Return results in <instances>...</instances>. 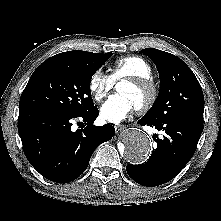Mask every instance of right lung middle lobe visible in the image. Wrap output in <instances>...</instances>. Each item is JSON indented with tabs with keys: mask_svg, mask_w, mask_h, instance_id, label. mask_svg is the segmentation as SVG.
<instances>
[{
	"mask_svg": "<svg viewBox=\"0 0 221 221\" xmlns=\"http://www.w3.org/2000/svg\"><path fill=\"white\" fill-rule=\"evenodd\" d=\"M98 54L88 64L44 61L32 74L19 107H36L80 116L93 110L90 82L94 73L110 58Z\"/></svg>",
	"mask_w": 221,
	"mask_h": 221,
	"instance_id": "right-lung-middle-lobe-1",
	"label": "right lung middle lobe"
}]
</instances>
